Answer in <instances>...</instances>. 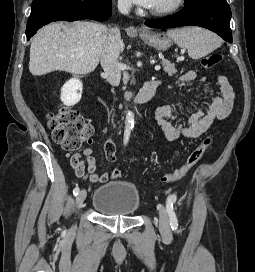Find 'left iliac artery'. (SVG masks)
I'll list each match as a JSON object with an SVG mask.
<instances>
[{
  "mask_svg": "<svg viewBox=\"0 0 255 272\" xmlns=\"http://www.w3.org/2000/svg\"><path fill=\"white\" fill-rule=\"evenodd\" d=\"M176 201L175 195H169L166 201V209L170 218V225L172 230L176 231L178 228V219L174 212L173 203Z\"/></svg>",
  "mask_w": 255,
  "mask_h": 272,
  "instance_id": "obj_1",
  "label": "left iliac artery"
}]
</instances>
